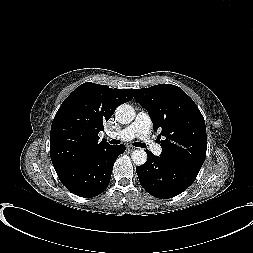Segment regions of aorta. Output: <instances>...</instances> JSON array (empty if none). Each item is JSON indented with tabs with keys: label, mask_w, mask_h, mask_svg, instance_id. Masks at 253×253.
I'll use <instances>...</instances> for the list:
<instances>
[{
	"label": "aorta",
	"mask_w": 253,
	"mask_h": 253,
	"mask_svg": "<svg viewBox=\"0 0 253 253\" xmlns=\"http://www.w3.org/2000/svg\"><path fill=\"white\" fill-rule=\"evenodd\" d=\"M115 117L119 123L128 124L135 118V110L129 104H122L117 107ZM131 158L136 165H143L147 161V154L143 149H138L131 153Z\"/></svg>",
	"instance_id": "aorta-1"
}]
</instances>
